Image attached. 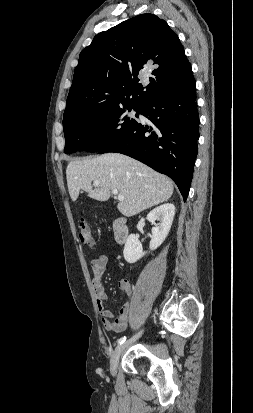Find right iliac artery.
<instances>
[{
	"mask_svg": "<svg viewBox=\"0 0 253 413\" xmlns=\"http://www.w3.org/2000/svg\"><path fill=\"white\" fill-rule=\"evenodd\" d=\"M126 338H127L126 336L121 337V338L117 341V343H118V344H122L123 342H125Z\"/></svg>",
	"mask_w": 253,
	"mask_h": 413,
	"instance_id": "1",
	"label": "right iliac artery"
}]
</instances>
